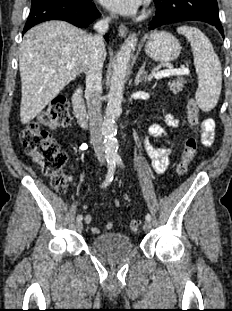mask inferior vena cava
Wrapping results in <instances>:
<instances>
[{"instance_id": "602c4592", "label": "inferior vena cava", "mask_w": 232, "mask_h": 311, "mask_svg": "<svg viewBox=\"0 0 232 311\" xmlns=\"http://www.w3.org/2000/svg\"><path fill=\"white\" fill-rule=\"evenodd\" d=\"M109 22L110 18L98 21L94 25L97 33L89 36L86 43L90 52V61L86 71L85 97L88 106L91 142L96 157L101 164L105 162L101 115V79L104 61L103 52L105 49L102 35L108 31Z\"/></svg>"}]
</instances>
